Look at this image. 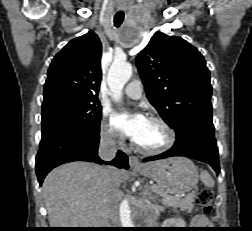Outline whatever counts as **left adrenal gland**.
Segmentation results:
<instances>
[{"mask_svg": "<svg viewBox=\"0 0 252 231\" xmlns=\"http://www.w3.org/2000/svg\"><path fill=\"white\" fill-rule=\"evenodd\" d=\"M145 194L151 195V192L149 191L148 184L145 186Z\"/></svg>", "mask_w": 252, "mask_h": 231, "instance_id": "left-adrenal-gland-1", "label": "left adrenal gland"}]
</instances>
